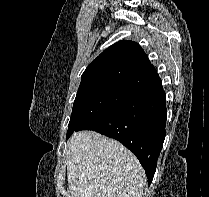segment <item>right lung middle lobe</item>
<instances>
[{
    "mask_svg": "<svg viewBox=\"0 0 209 197\" xmlns=\"http://www.w3.org/2000/svg\"><path fill=\"white\" fill-rule=\"evenodd\" d=\"M137 92L129 86L112 81L81 82L73 104L67 137Z\"/></svg>",
    "mask_w": 209,
    "mask_h": 197,
    "instance_id": "right-lung-middle-lobe-1",
    "label": "right lung middle lobe"
}]
</instances>
